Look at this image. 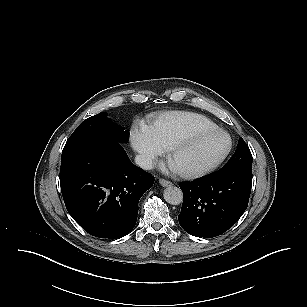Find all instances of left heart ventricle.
Masks as SVG:
<instances>
[{"label": "left heart ventricle", "mask_w": 307, "mask_h": 307, "mask_svg": "<svg viewBox=\"0 0 307 307\" xmlns=\"http://www.w3.org/2000/svg\"><path fill=\"white\" fill-rule=\"evenodd\" d=\"M228 139L223 134H216L202 139L188 149L170 158L175 170H184L200 167L211 163L227 148Z\"/></svg>", "instance_id": "b2bd125f"}]
</instances>
